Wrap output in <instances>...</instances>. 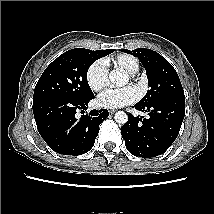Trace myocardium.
<instances>
[{
	"label": "myocardium",
	"instance_id": "1",
	"mask_svg": "<svg viewBox=\"0 0 214 214\" xmlns=\"http://www.w3.org/2000/svg\"><path fill=\"white\" fill-rule=\"evenodd\" d=\"M129 77L132 78V74H130Z\"/></svg>",
	"mask_w": 214,
	"mask_h": 214
}]
</instances>
